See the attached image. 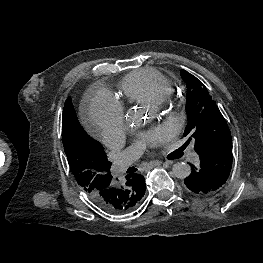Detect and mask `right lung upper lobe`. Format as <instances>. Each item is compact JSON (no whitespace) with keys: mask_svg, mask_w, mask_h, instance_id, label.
I'll use <instances>...</instances> for the list:
<instances>
[{"mask_svg":"<svg viewBox=\"0 0 263 263\" xmlns=\"http://www.w3.org/2000/svg\"><path fill=\"white\" fill-rule=\"evenodd\" d=\"M127 188L129 190L128 200L116 210V213H126L135 209L145 194V185L143 184L130 183Z\"/></svg>","mask_w":263,"mask_h":263,"instance_id":"obj_1","label":"right lung upper lobe"}]
</instances>
